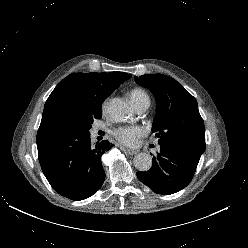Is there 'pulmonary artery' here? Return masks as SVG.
Here are the masks:
<instances>
[{"label":"pulmonary artery","instance_id":"e3ab8cb5","mask_svg":"<svg viewBox=\"0 0 248 248\" xmlns=\"http://www.w3.org/2000/svg\"><path fill=\"white\" fill-rule=\"evenodd\" d=\"M149 105H150L149 100H143L135 104V107L139 112H144L148 109Z\"/></svg>","mask_w":248,"mask_h":248}]
</instances>
